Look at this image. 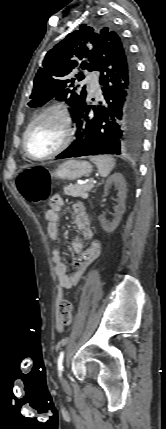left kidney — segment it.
Wrapping results in <instances>:
<instances>
[{
	"mask_svg": "<svg viewBox=\"0 0 166 429\" xmlns=\"http://www.w3.org/2000/svg\"><path fill=\"white\" fill-rule=\"evenodd\" d=\"M112 185H115L119 192H118V205L115 206L114 210H115V216L112 222H107L106 218L104 215L100 216V223L102 225V228L104 231L110 233L113 232L120 220L121 217L123 215V213L125 212V198H126V183H125V179L123 177V175L121 173H114L113 175H111L105 184V191H107Z\"/></svg>",
	"mask_w": 166,
	"mask_h": 429,
	"instance_id": "1",
	"label": "left kidney"
}]
</instances>
